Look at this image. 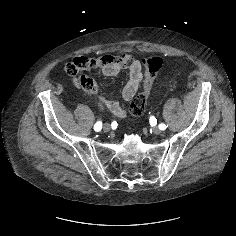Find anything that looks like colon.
Returning a JSON list of instances; mask_svg holds the SVG:
<instances>
[{
  "label": "colon",
  "instance_id": "5ec220e1",
  "mask_svg": "<svg viewBox=\"0 0 236 236\" xmlns=\"http://www.w3.org/2000/svg\"><path fill=\"white\" fill-rule=\"evenodd\" d=\"M143 64L145 67L143 91L133 99L130 106L131 112L135 116H140L143 114L147 103L148 93L150 92L154 80L162 67L163 60L159 56H150L143 60ZM87 68L88 63L84 61L69 62L65 66V70L69 75L80 74ZM81 76L83 79L87 80L86 76ZM87 91L89 90L87 89Z\"/></svg>",
  "mask_w": 236,
  "mask_h": 236
}]
</instances>
